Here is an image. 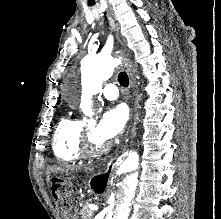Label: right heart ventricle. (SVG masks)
<instances>
[{"label": "right heart ventricle", "mask_w": 221, "mask_h": 219, "mask_svg": "<svg viewBox=\"0 0 221 219\" xmlns=\"http://www.w3.org/2000/svg\"><path fill=\"white\" fill-rule=\"evenodd\" d=\"M85 128V123L80 119L66 116L60 120L52 141L53 153L59 161L74 163L83 157L81 148Z\"/></svg>", "instance_id": "1"}]
</instances>
